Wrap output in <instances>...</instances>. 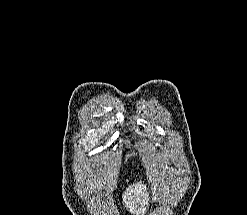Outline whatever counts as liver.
<instances>
[{
	"label": "liver",
	"mask_w": 247,
	"mask_h": 215,
	"mask_svg": "<svg viewBox=\"0 0 247 215\" xmlns=\"http://www.w3.org/2000/svg\"><path fill=\"white\" fill-rule=\"evenodd\" d=\"M123 201L127 208L137 215H144L148 203L146 187L140 182L134 186H129L123 194ZM140 205V206H139Z\"/></svg>",
	"instance_id": "1"
}]
</instances>
